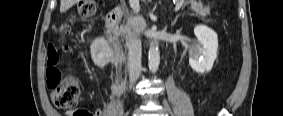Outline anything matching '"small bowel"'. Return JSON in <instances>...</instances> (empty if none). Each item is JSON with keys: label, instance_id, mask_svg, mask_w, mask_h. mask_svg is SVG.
Returning <instances> with one entry per match:
<instances>
[{"label": "small bowel", "instance_id": "obj_1", "mask_svg": "<svg viewBox=\"0 0 283 116\" xmlns=\"http://www.w3.org/2000/svg\"><path fill=\"white\" fill-rule=\"evenodd\" d=\"M58 61V56L54 52V47L50 46L48 48V53H47V70H46V75L48 76H56L59 74V71L54 68V65L57 64ZM73 112H68V115H72ZM103 110L101 109H95L91 111V116H102Z\"/></svg>", "mask_w": 283, "mask_h": 116}]
</instances>
